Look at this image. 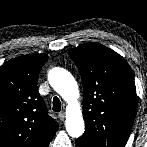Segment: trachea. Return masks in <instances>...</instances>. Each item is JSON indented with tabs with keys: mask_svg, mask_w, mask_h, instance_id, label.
<instances>
[{
	"mask_svg": "<svg viewBox=\"0 0 147 147\" xmlns=\"http://www.w3.org/2000/svg\"><path fill=\"white\" fill-rule=\"evenodd\" d=\"M53 111L55 112L61 111V102L58 97L53 98Z\"/></svg>",
	"mask_w": 147,
	"mask_h": 147,
	"instance_id": "obj_1",
	"label": "trachea"
}]
</instances>
